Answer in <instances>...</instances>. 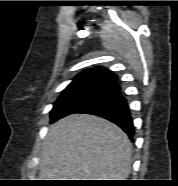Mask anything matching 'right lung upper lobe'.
<instances>
[{"mask_svg": "<svg viewBox=\"0 0 178 186\" xmlns=\"http://www.w3.org/2000/svg\"><path fill=\"white\" fill-rule=\"evenodd\" d=\"M117 75L103 67H94L78 74L66 89L83 85H109L117 83Z\"/></svg>", "mask_w": 178, "mask_h": 186, "instance_id": "cb5924a9", "label": "right lung upper lobe"}]
</instances>
